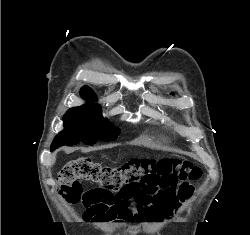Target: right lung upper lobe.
I'll list each match as a JSON object with an SVG mask.
<instances>
[{"instance_id":"1","label":"right lung upper lobe","mask_w":250,"mask_h":235,"mask_svg":"<svg viewBox=\"0 0 250 235\" xmlns=\"http://www.w3.org/2000/svg\"><path fill=\"white\" fill-rule=\"evenodd\" d=\"M81 95L83 98L89 99L91 101H94L96 99L94 93L92 92V90L89 87L82 88Z\"/></svg>"}]
</instances>
